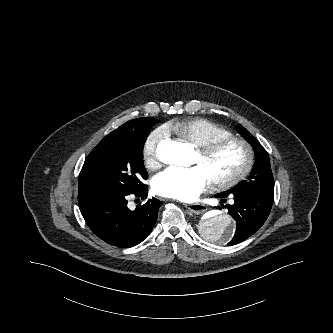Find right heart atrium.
Wrapping results in <instances>:
<instances>
[{"mask_svg":"<svg viewBox=\"0 0 333 333\" xmlns=\"http://www.w3.org/2000/svg\"><path fill=\"white\" fill-rule=\"evenodd\" d=\"M165 134L162 129L153 131L143 145V160L148 169H155L160 165L158 146L164 139Z\"/></svg>","mask_w":333,"mask_h":333,"instance_id":"d8ad5b80","label":"right heart atrium"}]
</instances>
